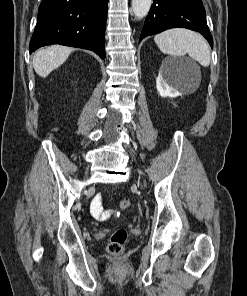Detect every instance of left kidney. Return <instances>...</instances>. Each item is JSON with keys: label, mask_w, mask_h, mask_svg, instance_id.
Instances as JSON below:
<instances>
[{"label": "left kidney", "mask_w": 247, "mask_h": 296, "mask_svg": "<svg viewBox=\"0 0 247 296\" xmlns=\"http://www.w3.org/2000/svg\"><path fill=\"white\" fill-rule=\"evenodd\" d=\"M190 81V73L181 60L165 59L156 78V88L160 96L175 98L182 95L178 90L181 83Z\"/></svg>", "instance_id": "left-kidney-1"}]
</instances>
